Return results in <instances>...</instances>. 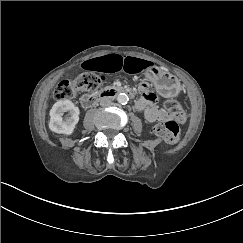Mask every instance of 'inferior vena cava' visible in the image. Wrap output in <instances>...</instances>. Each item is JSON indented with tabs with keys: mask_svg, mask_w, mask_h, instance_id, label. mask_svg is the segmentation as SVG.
Instances as JSON below:
<instances>
[{
	"mask_svg": "<svg viewBox=\"0 0 243 243\" xmlns=\"http://www.w3.org/2000/svg\"><path fill=\"white\" fill-rule=\"evenodd\" d=\"M109 105H111V100L108 97H102L100 99V106L107 107Z\"/></svg>",
	"mask_w": 243,
	"mask_h": 243,
	"instance_id": "1",
	"label": "inferior vena cava"
}]
</instances>
